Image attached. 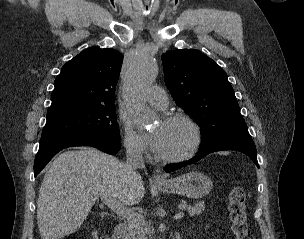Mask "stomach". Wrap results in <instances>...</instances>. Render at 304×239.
<instances>
[{
	"mask_svg": "<svg viewBox=\"0 0 304 239\" xmlns=\"http://www.w3.org/2000/svg\"><path fill=\"white\" fill-rule=\"evenodd\" d=\"M213 187L212 180L201 172H188L158 185L165 193L179 194L189 198H202Z\"/></svg>",
	"mask_w": 304,
	"mask_h": 239,
	"instance_id": "0dacf381",
	"label": "stomach"
}]
</instances>
